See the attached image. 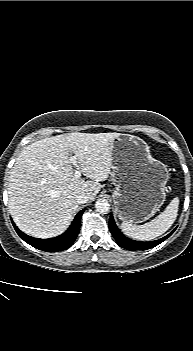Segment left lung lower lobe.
Listing matches in <instances>:
<instances>
[{
  "label": "left lung lower lobe",
  "mask_w": 193,
  "mask_h": 351,
  "mask_svg": "<svg viewBox=\"0 0 193 351\" xmlns=\"http://www.w3.org/2000/svg\"><path fill=\"white\" fill-rule=\"evenodd\" d=\"M109 229L111 234L113 235V237L115 238L117 244L122 247L125 248L127 250L130 251H134V250H147L150 248H153L155 246H157L158 244H160L161 242H163L165 239H167L175 230H173L170 234H168L167 236L156 240V241H152V242H139V241H134L131 240L127 237H125L117 228L113 216H110L109 219Z\"/></svg>",
  "instance_id": "left-lung-lower-lobe-1"
}]
</instances>
